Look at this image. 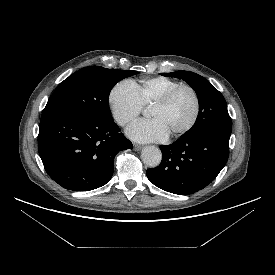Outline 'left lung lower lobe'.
Returning <instances> with one entry per match:
<instances>
[{"label": "left lung lower lobe", "mask_w": 275, "mask_h": 275, "mask_svg": "<svg viewBox=\"0 0 275 275\" xmlns=\"http://www.w3.org/2000/svg\"><path fill=\"white\" fill-rule=\"evenodd\" d=\"M229 133L182 135L174 143L160 146L162 161L146 171L162 190L189 195L209 185L225 166L229 156Z\"/></svg>", "instance_id": "left-lung-lower-lobe-1"}]
</instances>
